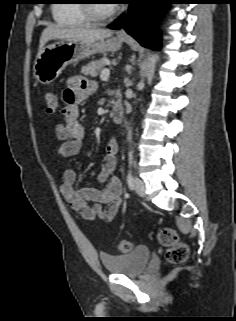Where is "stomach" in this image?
<instances>
[{
  "label": "stomach",
  "mask_w": 236,
  "mask_h": 321,
  "mask_svg": "<svg viewBox=\"0 0 236 321\" xmlns=\"http://www.w3.org/2000/svg\"><path fill=\"white\" fill-rule=\"evenodd\" d=\"M122 46L118 38H109L96 42H84L74 39L61 40L41 49L34 62V76L41 84L55 81L65 67L98 52H115Z\"/></svg>",
  "instance_id": "obj_1"
}]
</instances>
